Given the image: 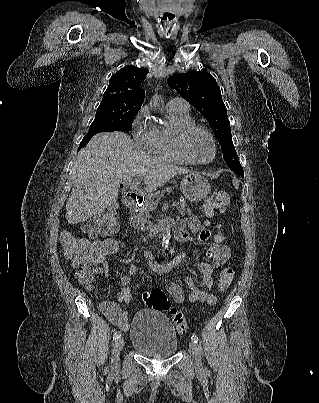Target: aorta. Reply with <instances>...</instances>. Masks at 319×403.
Listing matches in <instances>:
<instances>
[{"label":"aorta","mask_w":319,"mask_h":403,"mask_svg":"<svg viewBox=\"0 0 319 403\" xmlns=\"http://www.w3.org/2000/svg\"><path fill=\"white\" fill-rule=\"evenodd\" d=\"M151 106H153V108H157L159 106V99L158 97H154L153 100L151 101ZM170 232H164L163 233V237H162V247L164 250L168 249L169 247V241H170Z\"/></svg>","instance_id":"aorta-1"}]
</instances>
